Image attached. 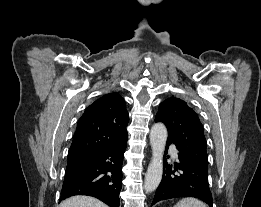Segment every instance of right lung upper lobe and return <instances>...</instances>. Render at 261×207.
<instances>
[{
  "mask_svg": "<svg viewBox=\"0 0 261 207\" xmlns=\"http://www.w3.org/2000/svg\"><path fill=\"white\" fill-rule=\"evenodd\" d=\"M128 122L125 101L118 93L99 98L79 119L68 160L125 143Z\"/></svg>",
  "mask_w": 261,
  "mask_h": 207,
  "instance_id": "right-lung-upper-lobe-1",
  "label": "right lung upper lobe"
}]
</instances>
